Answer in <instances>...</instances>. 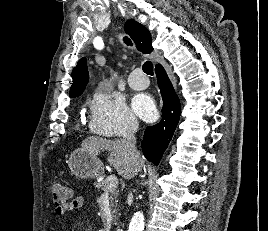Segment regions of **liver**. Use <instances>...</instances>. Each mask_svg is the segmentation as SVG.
Returning a JSON list of instances; mask_svg holds the SVG:
<instances>
[{
	"mask_svg": "<svg viewBox=\"0 0 268 231\" xmlns=\"http://www.w3.org/2000/svg\"><path fill=\"white\" fill-rule=\"evenodd\" d=\"M81 146L94 155H98L102 151H108L107 161L124 178L133 177L141 170L144 164V160L141 157L138 162L132 161L123 139L107 140L91 136L83 140Z\"/></svg>",
	"mask_w": 268,
	"mask_h": 231,
	"instance_id": "1",
	"label": "liver"
}]
</instances>
